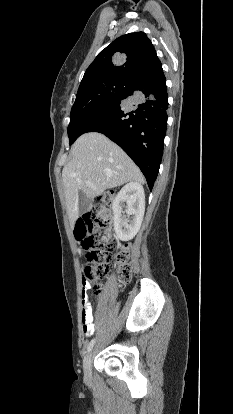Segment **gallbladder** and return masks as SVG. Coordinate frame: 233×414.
<instances>
[{"label": "gallbladder", "mask_w": 233, "mask_h": 414, "mask_svg": "<svg viewBox=\"0 0 233 414\" xmlns=\"http://www.w3.org/2000/svg\"><path fill=\"white\" fill-rule=\"evenodd\" d=\"M91 199L82 191L79 193V215L87 213L90 209Z\"/></svg>", "instance_id": "bac80fb5"}]
</instances>
